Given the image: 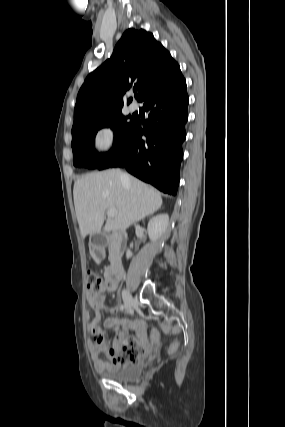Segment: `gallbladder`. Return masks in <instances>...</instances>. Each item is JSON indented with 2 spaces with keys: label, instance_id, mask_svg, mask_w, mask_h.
<instances>
[{
  "label": "gallbladder",
  "instance_id": "bac80fb5",
  "mask_svg": "<svg viewBox=\"0 0 285 427\" xmlns=\"http://www.w3.org/2000/svg\"><path fill=\"white\" fill-rule=\"evenodd\" d=\"M98 236H99V234H93V236H92V242H91L92 246L98 245V243L96 241V239H97Z\"/></svg>",
  "mask_w": 285,
  "mask_h": 427
}]
</instances>
